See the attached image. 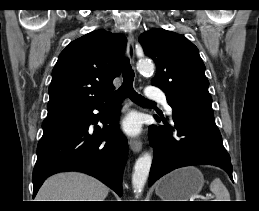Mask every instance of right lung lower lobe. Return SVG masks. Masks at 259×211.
<instances>
[{
  "instance_id": "98d812e1",
  "label": "right lung lower lobe",
  "mask_w": 259,
  "mask_h": 211,
  "mask_svg": "<svg viewBox=\"0 0 259 211\" xmlns=\"http://www.w3.org/2000/svg\"><path fill=\"white\" fill-rule=\"evenodd\" d=\"M104 116V128L91 124L99 120L93 110ZM119 107L103 103L92 109L46 118L43 136L37 146L33 170V197L45 179L55 173L79 171L96 177L122 196V174L128 144L118 128ZM102 118V117H100Z\"/></svg>"
}]
</instances>
